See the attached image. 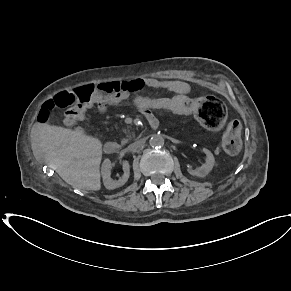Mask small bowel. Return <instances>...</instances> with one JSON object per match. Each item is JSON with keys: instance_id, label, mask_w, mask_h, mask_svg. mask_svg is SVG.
I'll return each mask as SVG.
<instances>
[{"instance_id": "small-bowel-1", "label": "small bowel", "mask_w": 291, "mask_h": 291, "mask_svg": "<svg viewBox=\"0 0 291 291\" xmlns=\"http://www.w3.org/2000/svg\"><path fill=\"white\" fill-rule=\"evenodd\" d=\"M127 89L120 93L119 95L110 97L106 100H103L98 104V110L100 113L106 112L108 106H119L122 105L131 94L136 93L143 88H148L155 91H169L175 93L171 98H176V96H189V85L183 81L178 80H159V79H142V78H133L128 81H125ZM190 98V97H189ZM140 105V104H139ZM145 105H140L141 112L149 119L153 120V114L151 112L155 107H151L149 111L144 109ZM191 115V114H190Z\"/></svg>"}]
</instances>
